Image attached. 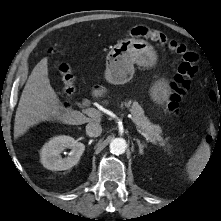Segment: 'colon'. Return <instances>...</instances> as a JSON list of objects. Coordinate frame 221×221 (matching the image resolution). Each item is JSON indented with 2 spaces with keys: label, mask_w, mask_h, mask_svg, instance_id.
Listing matches in <instances>:
<instances>
[{
  "label": "colon",
  "mask_w": 221,
  "mask_h": 221,
  "mask_svg": "<svg viewBox=\"0 0 221 221\" xmlns=\"http://www.w3.org/2000/svg\"><path fill=\"white\" fill-rule=\"evenodd\" d=\"M131 38H145L165 45L169 50L178 54L181 57V63L173 81L169 85L167 93L166 109L169 114L177 115L179 113V105L182 98L186 95L190 88L191 80L198 72L199 56L196 52L187 48L183 43L168 40L167 37L158 30L150 29L145 26H136L129 31ZM57 69L60 72L65 90L72 93L75 89V76L72 69L64 63H58ZM213 130L210 126L206 137L211 138Z\"/></svg>",
  "instance_id": "1"
}]
</instances>
